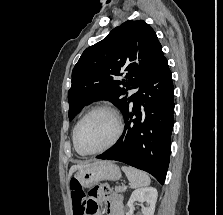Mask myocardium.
<instances>
[{
	"mask_svg": "<svg viewBox=\"0 0 223 215\" xmlns=\"http://www.w3.org/2000/svg\"><path fill=\"white\" fill-rule=\"evenodd\" d=\"M97 112H105L113 118V120L115 122V125H116L115 134H114L113 138L111 139V141L105 147L101 148L100 150L94 151V152H82L77 146V132H78V129H79L80 125L83 123V121H85L89 116H91L92 114L97 113ZM122 132H123V126H122L121 120H120L118 114L116 113V111L113 108H111L110 106H107V105H97V106L93 107L92 109H90L77 122V124L74 128V131H73L74 148H75L76 152L81 156H95V155H98V154H100L104 151H107V150L113 148L115 146V144L119 141V139L122 135Z\"/></svg>",
	"mask_w": 223,
	"mask_h": 215,
	"instance_id": "f54148a6",
	"label": "myocardium"
}]
</instances>
